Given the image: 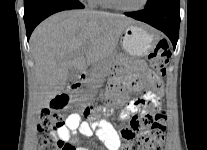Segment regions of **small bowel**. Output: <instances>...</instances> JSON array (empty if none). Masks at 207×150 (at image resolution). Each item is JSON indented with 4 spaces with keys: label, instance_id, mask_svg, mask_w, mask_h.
I'll return each instance as SVG.
<instances>
[{
    "label": "small bowel",
    "instance_id": "small-bowel-1",
    "mask_svg": "<svg viewBox=\"0 0 207 150\" xmlns=\"http://www.w3.org/2000/svg\"><path fill=\"white\" fill-rule=\"evenodd\" d=\"M140 71L142 75L135 78L122 77L115 79L107 94L109 108L117 109L126 105L125 115L129 122L128 127H131V119L133 117L138 118V114H141L143 111L140 107V99L128 101L126 95L122 93V90L125 87L142 90L146 80H149V77H157L150 74L143 65L140 66ZM162 94V86L157 87V96H155V99H160ZM133 102L136 104L134 107L131 105ZM144 112L147 114L149 111ZM150 112L152 113L153 111ZM76 132H79L80 135L87 138L95 134L108 150H120L121 148V134L118 133L111 123L100 119L82 121L81 116L77 113L70 114L64 125L57 128L53 136H57L63 142L70 143L74 147V150H90L85 146L78 145V138L75 135Z\"/></svg>",
    "mask_w": 207,
    "mask_h": 150
}]
</instances>
